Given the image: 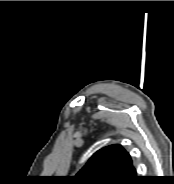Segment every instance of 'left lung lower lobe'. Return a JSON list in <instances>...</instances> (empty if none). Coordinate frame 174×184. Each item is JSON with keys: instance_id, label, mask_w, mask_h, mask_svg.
Returning <instances> with one entry per match:
<instances>
[{"instance_id": "obj_1", "label": "left lung lower lobe", "mask_w": 174, "mask_h": 184, "mask_svg": "<svg viewBox=\"0 0 174 184\" xmlns=\"http://www.w3.org/2000/svg\"><path fill=\"white\" fill-rule=\"evenodd\" d=\"M138 180H139L138 176H136V172H135V176H134V178L132 179V181L129 184H132V183H134V182H136Z\"/></svg>"}]
</instances>
